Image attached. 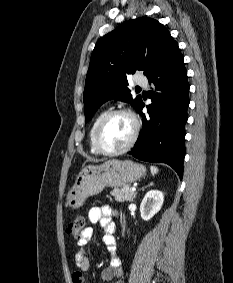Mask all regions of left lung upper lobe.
Returning <instances> with one entry per match:
<instances>
[{"label": "left lung upper lobe", "instance_id": "left-lung-upper-lobe-1", "mask_svg": "<svg viewBox=\"0 0 233 283\" xmlns=\"http://www.w3.org/2000/svg\"><path fill=\"white\" fill-rule=\"evenodd\" d=\"M177 44L157 20L139 17L122 23L95 45L86 76L84 114L89 121L110 99L130 103L136 110L142 102L127 87V74L136 70L148 76Z\"/></svg>", "mask_w": 233, "mask_h": 283}]
</instances>
